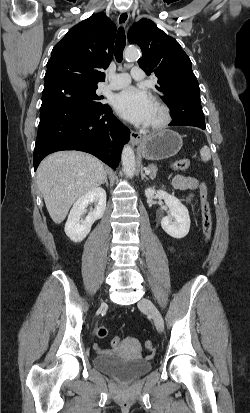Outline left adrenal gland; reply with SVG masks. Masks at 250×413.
Returning <instances> with one entry per match:
<instances>
[{
	"label": "left adrenal gland",
	"instance_id": "1",
	"mask_svg": "<svg viewBox=\"0 0 250 413\" xmlns=\"http://www.w3.org/2000/svg\"><path fill=\"white\" fill-rule=\"evenodd\" d=\"M144 170H145V168L143 167L142 169H141V178L142 179H146V180H148V177L146 176V174H144Z\"/></svg>",
	"mask_w": 250,
	"mask_h": 413
}]
</instances>
